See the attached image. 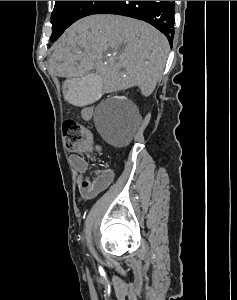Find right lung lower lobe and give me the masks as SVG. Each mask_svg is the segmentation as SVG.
<instances>
[{
	"instance_id": "obj_1",
	"label": "right lung lower lobe",
	"mask_w": 237,
	"mask_h": 300,
	"mask_svg": "<svg viewBox=\"0 0 237 300\" xmlns=\"http://www.w3.org/2000/svg\"><path fill=\"white\" fill-rule=\"evenodd\" d=\"M94 14H117L150 23L169 40L174 37V1H106Z\"/></svg>"
}]
</instances>
